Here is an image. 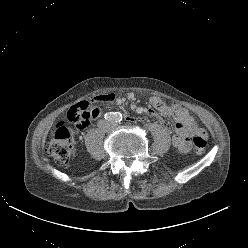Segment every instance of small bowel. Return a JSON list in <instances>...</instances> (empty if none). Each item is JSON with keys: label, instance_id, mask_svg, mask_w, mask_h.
<instances>
[{"label": "small bowel", "instance_id": "small-bowel-1", "mask_svg": "<svg viewBox=\"0 0 248 248\" xmlns=\"http://www.w3.org/2000/svg\"><path fill=\"white\" fill-rule=\"evenodd\" d=\"M109 95V94H108ZM112 95V94H110ZM97 98V97H96ZM114 95L113 100L110 102H101L96 99V105L98 107V112L95 116V118L99 117L101 114V103H111L114 101ZM150 104L152 107H154L157 111L154 109H147L144 107H138L136 109V112L139 114H148L150 116L147 117V122L151 125H157L158 119L164 124L167 125V122L163 120L161 115L165 116L166 118L176 121V132L172 136V144L173 146L179 150L180 152H188L191 147L189 135L191 133H194L197 131L195 128V122L194 119L191 117L189 112L184 109L183 107L179 105H174L173 107L167 106L165 102L160 99L159 97H152L150 99Z\"/></svg>", "mask_w": 248, "mask_h": 248}]
</instances>
